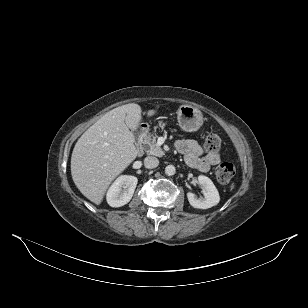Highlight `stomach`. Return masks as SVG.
<instances>
[{"instance_id":"0dacf381","label":"stomach","mask_w":308,"mask_h":308,"mask_svg":"<svg viewBox=\"0 0 308 308\" xmlns=\"http://www.w3.org/2000/svg\"><path fill=\"white\" fill-rule=\"evenodd\" d=\"M177 120L180 128L186 132H195L203 124L202 112L191 105H182L177 112Z\"/></svg>"}]
</instances>
